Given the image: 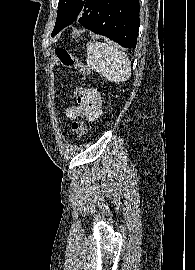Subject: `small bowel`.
I'll use <instances>...</instances> for the list:
<instances>
[{
  "label": "small bowel",
  "instance_id": "obj_1",
  "mask_svg": "<svg viewBox=\"0 0 195 270\" xmlns=\"http://www.w3.org/2000/svg\"><path fill=\"white\" fill-rule=\"evenodd\" d=\"M101 113V95L91 87L82 90L78 96V103L66 109L65 114L70 119L96 118Z\"/></svg>",
  "mask_w": 195,
  "mask_h": 270
}]
</instances>
